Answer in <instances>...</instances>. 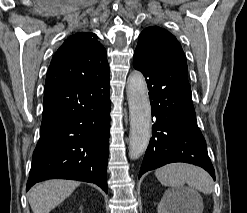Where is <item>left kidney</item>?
I'll use <instances>...</instances> for the list:
<instances>
[{"mask_svg": "<svg viewBox=\"0 0 247 213\" xmlns=\"http://www.w3.org/2000/svg\"><path fill=\"white\" fill-rule=\"evenodd\" d=\"M158 213H198L189 192L168 190L158 204Z\"/></svg>", "mask_w": 247, "mask_h": 213, "instance_id": "left-kidney-1", "label": "left kidney"}]
</instances>
